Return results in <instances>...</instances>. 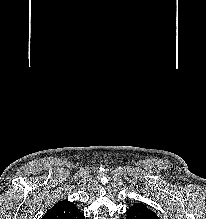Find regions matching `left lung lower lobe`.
<instances>
[{"instance_id":"obj_1","label":"left lung lower lobe","mask_w":206,"mask_h":219,"mask_svg":"<svg viewBox=\"0 0 206 219\" xmlns=\"http://www.w3.org/2000/svg\"><path fill=\"white\" fill-rule=\"evenodd\" d=\"M126 214L127 219H159L153 211L142 204H134Z\"/></svg>"}]
</instances>
